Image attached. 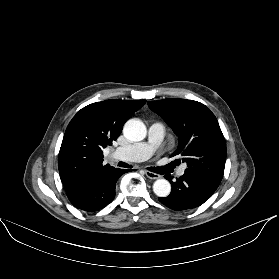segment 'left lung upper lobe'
Instances as JSON below:
<instances>
[{
  "label": "left lung upper lobe",
  "mask_w": 279,
  "mask_h": 279,
  "mask_svg": "<svg viewBox=\"0 0 279 279\" xmlns=\"http://www.w3.org/2000/svg\"><path fill=\"white\" fill-rule=\"evenodd\" d=\"M148 106L178 136V148L171 157L181 156L187 163L185 173L218 187L225 168L226 142L215 115L193 100L163 99L150 101Z\"/></svg>",
  "instance_id": "left-lung-upper-lobe-1"
}]
</instances>
